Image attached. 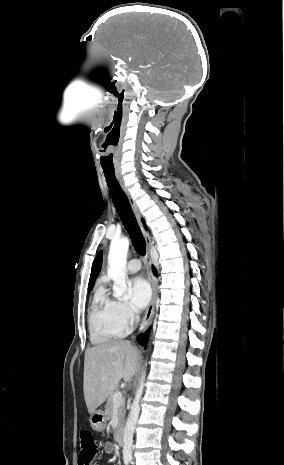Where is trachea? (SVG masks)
Wrapping results in <instances>:
<instances>
[{
    "mask_svg": "<svg viewBox=\"0 0 284 465\" xmlns=\"http://www.w3.org/2000/svg\"><path fill=\"white\" fill-rule=\"evenodd\" d=\"M107 186L109 188V193L115 205V208L119 214V217L124 225V228L127 230L130 235L132 245L134 246L136 252L141 255L146 253V242L143 238L137 220L134 213L132 212L130 203L124 191L122 190L117 178L115 176L114 169H103Z\"/></svg>",
    "mask_w": 284,
    "mask_h": 465,
    "instance_id": "1",
    "label": "trachea"
}]
</instances>
